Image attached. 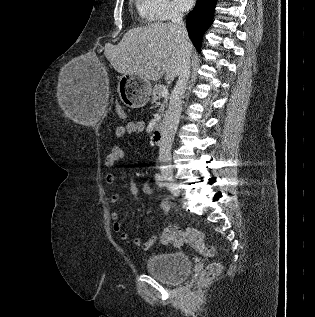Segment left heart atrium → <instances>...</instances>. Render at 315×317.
<instances>
[{"instance_id":"obj_1","label":"left heart atrium","mask_w":315,"mask_h":317,"mask_svg":"<svg viewBox=\"0 0 315 317\" xmlns=\"http://www.w3.org/2000/svg\"><path fill=\"white\" fill-rule=\"evenodd\" d=\"M173 2L180 11H187L194 4V0H173Z\"/></svg>"}]
</instances>
